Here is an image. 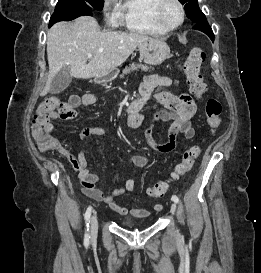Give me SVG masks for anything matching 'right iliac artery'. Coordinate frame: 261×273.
Segmentation results:
<instances>
[{
  "instance_id": "1",
  "label": "right iliac artery",
  "mask_w": 261,
  "mask_h": 273,
  "mask_svg": "<svg viewBox=\"0 0 261 273\" xmlns=\"http://www.w3.org/2000/svg\"><path fill=\"white\" fill-rule=\"evenodd\" d=\"M91 211H92V207H88L84 218H85V223H86V233L84 236V245L88 246L89 245V239H90V235H89V222H90V216H91Z\"/></svg>"
}]
</instances>
